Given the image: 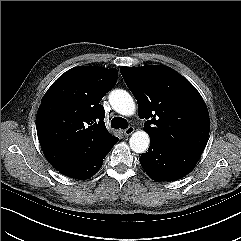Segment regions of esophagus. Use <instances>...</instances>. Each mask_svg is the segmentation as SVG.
Returning a JSON list of instances; mask_svg holds the SVG:
<instances>
[{
  "label": "esophagus",
  "instance_id": "obj_1",
  "mask_svg": "<svg viewBox=\"0 0 241 241\" xmlns=\"http://www.w3.org/2000/svg\"><path fill=\"white\" fill-rule=\"evenodd\" d=\"M134 131H135L134 127L130 126V127H128L127 129L124 130V135L129 136L132 133H134Z\"/></svg>",
  "mask_w": 241,
  "mask_h": 241
}]
</instances>
